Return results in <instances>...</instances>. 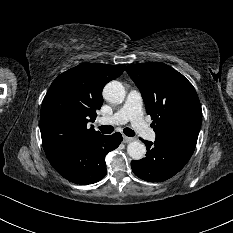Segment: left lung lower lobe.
Segmentation results:
<instances>
[{"instance_id": "obj_1", "label": "left lung lower lobe", "mask_w": 233, "mask_h": 233, "mask_svg": "<svg viewBox=\"0 0 233 233\" xmlns=\"http://www.w3.org/2000/svg\"><path fill=\"white\" fill-rule=\"evenodd\" d=\"M146 157L131 162L136 176L148 182H162L178 173L188 162L196 144L187 140H142Z\"/></svg>"}]
</instances>
